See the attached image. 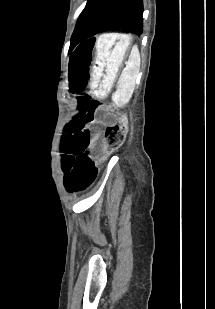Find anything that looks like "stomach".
<instances>
[{"label": "stomach", "mask_w": 215, "mask_h": 309, "mask_svg": "<svg viewBox=\"0 0 215 309\" xmlns=\"http://www.w3.org/2000/svg\"><path fill=\"white\" fill-rule=\"evenodd\" d=\"M96 58L90 87L97 97H105L113 86L124 59L133 52L132 37L126 33H104L96 40Z\"/></svg>", "instance_id": "obj_1"}]
</instances>
